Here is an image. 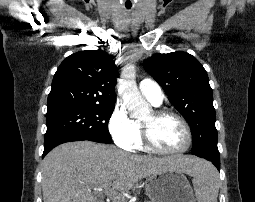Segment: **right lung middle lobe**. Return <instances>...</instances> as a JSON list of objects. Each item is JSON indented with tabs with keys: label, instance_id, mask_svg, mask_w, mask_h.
Masks as SVG:
<instances>
[{
	"label": "right lung middle lobe",
	"instance_id": "1",
	"mask_svg": "<svg viewBox=\"0 0 255 202\" xmlns=\"http://www.w3.org/2000/svg\"><path fill=\"white\" fill-rule=\"evenodd\" d=\"M114 105H84L46 114L45 140L58 136H75L84 140L111 143L108 121Z\"/></svg>",
	"mask_w": 255,
	"mask_h": 202
}]
</instances>
